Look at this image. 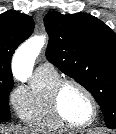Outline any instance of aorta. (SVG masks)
Instances as JSON below:
<instances>
[{
    "label": "aorta",
    "instance_id": "obj_1",
    "mask_svg": "<svg viewBox=\"0 0 116 134\" xmlns=\"http://www.w3.org/2000/svg\"><path fill=\"white\" fill-rule=\"evenodd\" d=\"M45 44L44 36H35L25 41L17 49L13 58V74L16 79L26 81L31 75L36 57Z\"/></svg>",
    "mask_w": 116,
    "mask_h": 134
}]
</instances>
